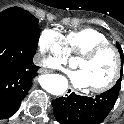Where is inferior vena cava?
<instances>
[{"mask_svg":"<svg viewBox=\"0 0 124 124\" xmlns=\"http://www.w3.org/2000/svg\"><path fill=\"white\" fill-rule=\"evenodd\" d=\"M34 62H35L36 65L41 66L42 63H43V59H42V57H41L40 55H37V56L35 57V59H34Z\"/></svg>","mask_w":124,"mask_h":124,"instance_id":"1","label":"inferior vena cava"}]
</instances>
